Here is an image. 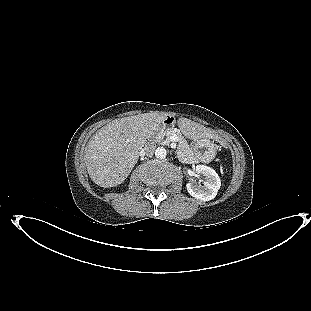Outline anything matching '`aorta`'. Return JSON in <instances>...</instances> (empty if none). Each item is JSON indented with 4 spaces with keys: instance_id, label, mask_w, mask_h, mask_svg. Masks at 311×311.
<instances>
[{
    "instance_id": "1",
    "label": "aorta",
    "mask_w": 311,
    "mask_h": 311,
    "mask_svg": "<svg viewBox=\"0 0 311 311\" xmlns=\"http://www.w3.org/2000/svg\"><path fill=\"white\" fill-rule=\"evenodd\" d=\"M167 155L166 149L164 147H158L155 150V157L158 159H164Z\"/></svg>"
}]
</instances>
